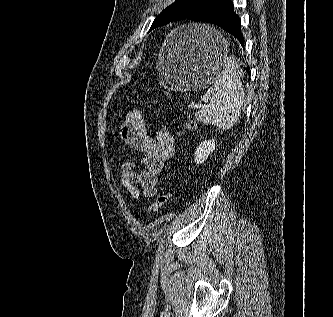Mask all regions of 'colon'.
Masks as SVG:
<instances>
[{"mask_svg": "<svg viewBox=\"0 0 333 317\" xmlns=\"http://www.w3.org/2000/svg\"><path fill=\"white\" fill-rule=\"evenodd\" d=\"M185 127L187 130H192L194 128V122L189 120L185 123ZM171 198V193L169 191H163L161 192L157 198L151 203V205L148 208L149 213H154L160 208H162L165 204L169 202Z\"/></svg>", "mask_w": 333, "mask_h": 317, "instance_id": "1", "label": "colon"}]
</instances>
